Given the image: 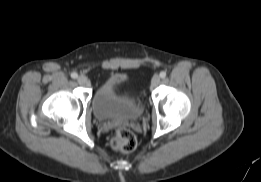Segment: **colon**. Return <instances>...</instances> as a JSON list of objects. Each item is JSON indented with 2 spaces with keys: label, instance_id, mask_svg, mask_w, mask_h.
Returning a JSON list of instances; mask_svg holds the SVG:
<instances>
[{
  "label": "colon",
  "instance_id": "obj_1",
  "mask_svg": "<svg viewBox=\"0 0 261 182\" xmlns=\"http://www.w3.org/2000/svg\"><path fill=\"white\" fill-rule=\"evenodd\" d=\"M110 146L116 151L131 152L137 146V139L130 130L119 127L110 141Z\"/></svg>",
  "mask_w": 261,
  "mask_h": 182
}]
</instances>
